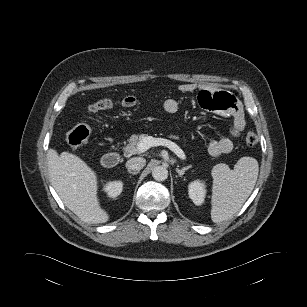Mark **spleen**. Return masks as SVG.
Wrapping results in <instances>:
<instances>
[{"mask_svg": "<svg viewBox=\"0 0 307 307\" xmlns=\"http://www.w3.org/2000/svg\"><path fill=\"white\" fill-rule=\"evenodd\" d=\"M259 165L255 158L242 157L231 170L218 164L212 170V208L214 223L231 218L248 199L256 184Z\"/></svg>", "mask_w": 307, "mask_h": 307, "instance_id": "1", "label": "spleen"}]
</instances>
